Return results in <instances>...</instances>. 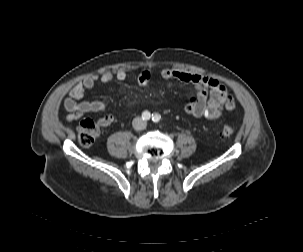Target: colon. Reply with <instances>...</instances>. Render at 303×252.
<instances>
[{
  "mask_svg": "<svg viewBox=\"0 0 303 252\" xmlns=\"http://www.w3.org/2000/svg\"><path fill=\"white\" fill-rule=\"evenodd\" d=\"M235 133L232 126L224 125L221 135L224 138L231 137ZM100 134L98 125L91 119L83 120L78 127V136L83 146H92L98 139Z\"/></svg>",
  "mask_w": 303,
  "mask_h": 252,
  "instance_id": "5ec220e1",
  "label": "colon"
}]
</instances>
